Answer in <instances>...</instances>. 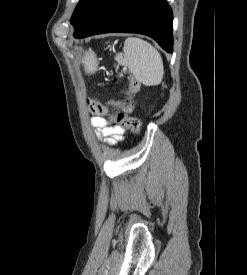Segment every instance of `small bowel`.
<instances>
[{"instance_id":"obj_1","label":"small bowel","mask_w":247,"mask_h":275,"mask_svg":"<svg viewBox=\"0 0 247 275\" xmlns=\"http://www.w3.org/2000/svg\"><path fill=\"white\" fill-rule=\"evenodd\" d=\"M91 124L97 129L100 135L106 137L109 145H115L124 140L125 129L120 126H113L101 116L91 118Z\"/></svg>"}]
</instances>
